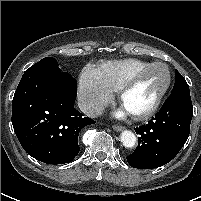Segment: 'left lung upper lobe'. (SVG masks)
Masks as SVG:
<instances>
[{
	"label": "left lung upper lobe",
	"mask_w": 201,
	"mask_h": 201,
	"mask_svg": "<svg viewBox=\"0 0 201 201\" xmlns=\"http://www.w3.org/2000/svg\"><path fill=\"white\" fill-rule=\"evenodd\" d=\"M184 90H189V86L183 76L175 70V83L171 94Z\"/></svg>",
	"instance_id": "obj_1"
}]
</instances>
